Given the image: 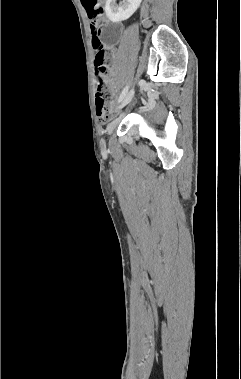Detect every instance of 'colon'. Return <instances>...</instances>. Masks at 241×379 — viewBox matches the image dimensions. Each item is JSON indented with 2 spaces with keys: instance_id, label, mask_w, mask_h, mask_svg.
Returning <instances> with one entry per match:
<instances>
[{
  "instance_id": "1",
  "label": "colon",
  "mask_w": 241,
  "mask_h": 379,
  "mask_svg": "<svg viewBox=\"0 0 241 379\" xmlns=\"http://www.w3.org/2000/svg\"><path fill=\"white\" fill-rule=\"evenodd\" d=\"M90 20L92 32V45L95 49V74H96V110L99 119L103 123H107L115 116V96L111 89L106 85V77L108 68L106 60L108 54L104 49L100 39L99 22L103 15V7L99 0H81Z\"/></svg>"
}]
</instances>
